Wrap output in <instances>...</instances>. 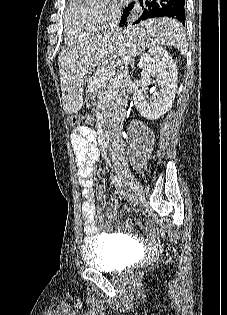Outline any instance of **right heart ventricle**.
<instances>
[{
    "label": "right heart ventricle",
    "mask_w": 227,
    "mask_h": 315,
    "mask_svg": "<svg viewBox=\"0 0 227 315\" xmlns=\"http://www.w3.org/2000/svg\"><path fill=\"white\" fill-rule=\"evenodd\" d=\"M63 22L68 45L87 41L101 30L96 18V10L84 4L82 0H68Z\"/></svg>",
    "instance_id": "1"
}]
</instances>
